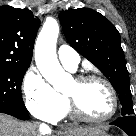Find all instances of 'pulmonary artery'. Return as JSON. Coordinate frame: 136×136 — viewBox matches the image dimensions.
Here are the masks:
<instances>
[{
    "instance_id": "1",
    "label": "pulmonary artery",
    "mask_w": 136,
    "mask_h": 136,
    "mask_svg": "<svg viewBox=\"0 0 136 136\" xmlns=\"http://www.w3.org/2000/svg\"><path fill=\"white\" fill-rule=\"evenodd\" d=\"M58 58L62 65L71 71H75L80 62L79 54L73 48L67 45H62L59 47Z\"/></svg>"
}]
</instances>
